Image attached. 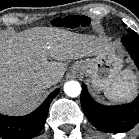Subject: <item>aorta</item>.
Wrapping results in <instances>:
<instances>
[{
    "mask_svg": "<svg viewBox=\"0 0 139 139\" xmlns=\"http://www.w3.org/2000/svg\"><path fill=\"white\" fill-rule=\"evenodd\" d=\"M81 85L79 82L71 80L64 85V92L69 97H77L81 94Z\"/></svg>",
    "mask_w": 139,
    "mask_h": 139,
    "instance_id": "762f6f07",
    "label": "aorta"
}]
</instances>
